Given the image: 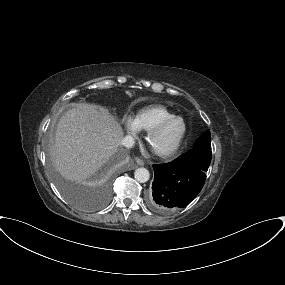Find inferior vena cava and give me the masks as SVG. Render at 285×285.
Segmentation results:
<instances>
[{
    "instance_id": "1",
    "label": "inferior vena cava",
    "mask_w": 285,
    "mask_h": 285,
    "mask_svg": "<svg viewBox=\"0 0 285 285\" xmlns=\"http://www.w3.org/2000/svg\"><path fill=\"white\" fill-rule=\"evenodd\" d=\"M134 139L132 136H125L124 138H122L120 144L123 145L126 148H131L134 145Z\"/></svg>"
}]
</instances>
